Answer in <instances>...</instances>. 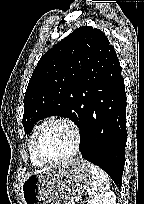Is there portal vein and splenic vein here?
Returning a JSON list of instances; mask_svg holds the SVG:
<instances>
[{
  "label": "portal vein and splenic vein",
  "mask_w": 144,
  "mask_h": 204,
  "mask_svg": "<svg viewBox=\"0 0 144 204\" xmlns=\"http://www.w3.org/2000/svg\"><path fill=\"white\" fill-rule=\"evenodd\" d=\"M72 204H75L74 200L72 201Z\"/></svg>",
  "instance_id": "18ae733b"
}]
</instances>
